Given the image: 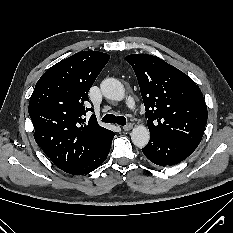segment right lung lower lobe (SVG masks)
<instances>
[{
  "mask_svg": "<svg viewBox=\"0 0 233 233\" xmlns=\"http://www.w3.org/2000/svg\"><path fill=\"white\" fill-rule=\"evenodd\" d=\"M113 137L95 155L82 163L66 169L65 172L72 175H83L97 169L108 156Z\"/></svg>",
  "mask_w": 233,
  "mask_h": 233,
  "instance_id": "98d812e1",
  "label": "right lung lower lobe"
}]
</instances>
